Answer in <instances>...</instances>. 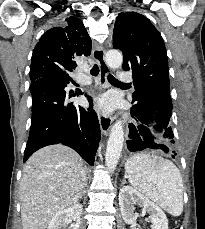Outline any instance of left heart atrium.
I'll return each instance as SVG.
<instances>
[{"mask_svg":"<svg viewBox=\"0 0 205 229\" xmlns=\"http://www.w3.org/2000/svg\"><path fill=\"white\" fill-rule=\"evenodd\" d=\"M94 104L97 109L103 112H108L114 107V98L109 94H104L98 97Z\"/></svg>","mask_w":205,"mask_h":229,"instance_id":"1","label":"left heart atrium"}]
</instances>
